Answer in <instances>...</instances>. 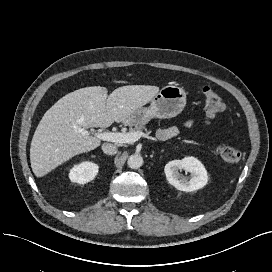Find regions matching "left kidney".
Instances as JSON below:
<instances>
[{"mask_svg":"<svg viewBox=\"0 0 272 272\" xmlns=\"http://www.w3.org/2000/svg\"><path fill=\"white\" fill-rule=\"evenodd\" d=\"M189 172L191 177H183L179 171ZM167 181L176 189L192 192L203 188L208 182V174L203 164L195 157L172 160L165 165Z\"/></svg>","mask_w":272,"mask_h":272,"instance_id":"obj_1","label":"left kidney"}]
</instances>
